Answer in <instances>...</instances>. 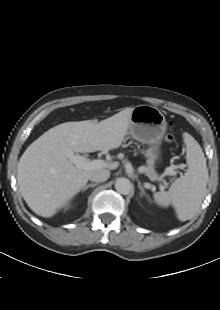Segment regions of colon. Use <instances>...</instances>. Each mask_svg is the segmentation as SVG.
Returning <instances> with one entry per match:
<instances>
[{"label": "colon", "instance_id": "5ec220e1", "mask_svg": "<svg viewBox=\"0 0 220 310\" xmlns=\"http://www.w3.org/2000/svg\"><path fill=\"white\" fill-rule=\"evenodd\" d=\"M173 140H174V136H173V135H167V136H166V141H167L168 143L172 142Z\"/></svg>", "mask_w": 220, "mask_h": 310}]
</instances>
